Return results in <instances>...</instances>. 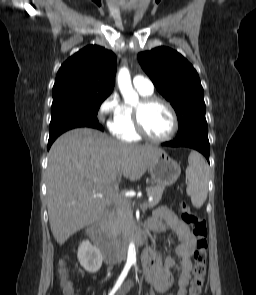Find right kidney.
Masks as SVG:
<instances>
[{"label":"right kidney","instance_id":"right-kidney-1","mask_svg":"<svg viewBox=\"0 0 256 295\" xmlns=\"http://www.w3.org/2000/svg\"><path fill=\"white\" fill-rule=\"evenodd\" d=\"M81 266L89 273H96L102 266V254L100 250L89 242L83 241L77 254Z\"/></svg>","mask_w":256,"mask_h":295}]
</instances>
